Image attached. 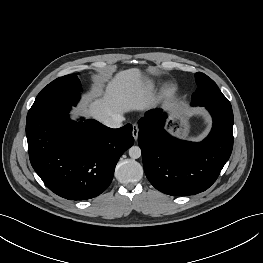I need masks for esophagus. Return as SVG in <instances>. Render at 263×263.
Returning a JSON list of instances; mask_svg holds the SVG:
<instances>
[{"label": "esophagus", "instance_id": "esophagus-1", "mask_svg": "<svg viewBox=\"0 0 263 263\" xmlns=\"http://www.w3.org/2000/svg\"><path fill=\"white\" fill-rule=\"evenodd\" d=\"M139 128L137 124H133L132 126V135L135 140L138 138Z\"/></svg>", "mask_w": 263, "mask_h": 263}]
</instances>
